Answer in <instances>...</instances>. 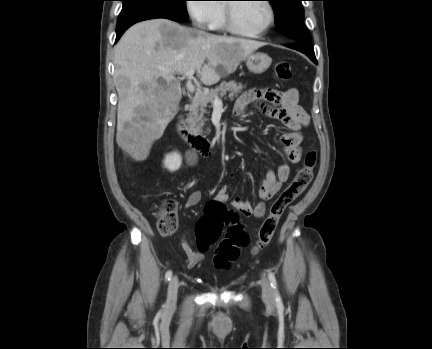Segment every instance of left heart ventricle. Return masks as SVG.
Segmentation results:
<instances>
[{
  "label": "left heart ventricle",
  "instance_id": "left-heart-ventricle-1",
  "mask_svg": "<svg viewBox=\"0 0 432 349\" xmlns=\"http://www.w3.org/2000/svg\"><path fill=\"white\" fill-rule=\"evenodd\" d=\"M234 19L240 29L256 32L266 26L269 20V10L264 2L236 3Z\"/></svg>",
  "mask_w": 432,
  "mask_h": 349
}]
</instances>
